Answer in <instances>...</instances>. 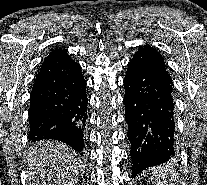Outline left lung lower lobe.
<instances>
[{
  "label": "left lung lower lobe",
  "mask_w": 207,
  "mask_h": 185,
  "mask_svg": "<svg viewBox=\"0 0 207 185\" xmlns=\"http://www.w3.org/2000/svg\"><path fill=\"white\" fill-rule=\"evenodd\" d=\"M131 143L132 176L173 158L175 149L173 84L142 68H130L124 78Z\"/></svg>",
  "instance_id": "left-lung-lower-lobe-1"
}]
</instances>
